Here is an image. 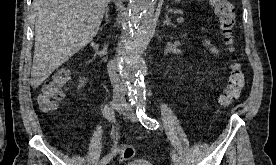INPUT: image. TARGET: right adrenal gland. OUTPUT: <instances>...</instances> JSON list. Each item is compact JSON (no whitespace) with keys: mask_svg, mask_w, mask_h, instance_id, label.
<instances>
[{"mask_svg":"<svg viewBox=\"0 0 276 165\" xmlns=\"http://www.w3.org/2000/svg\"><path fill=\"white\" fill-rule=\"evenodd\" d=\"M109 21H110V19H109V9L106 8V10H105V23H104V25H106Z\"/></svg>","mask_w":276,"mask_h":165,"instance_id":"1","label":"right adrenal gland"}]
</instances>
